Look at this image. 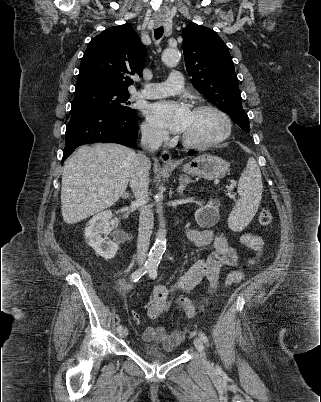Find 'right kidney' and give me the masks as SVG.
<instances>
[{
	"mask_svg": "<svg viewBox=\"0 0 321 402\" xmlns=\"http://www.w3.org/2000/svg\"><path fill=\"white\" fill-rule=\"evenodd\" d=\"M114 224L111 210H106L93 216L85 228L86 242L104 259H112L118 250L117 243L108 240L106 236L102 237V234L110 232V226Z\"/></svg>",
	"mask_w": 321,
	"mask_h": 402,
	"instance_id": "obj_1",
	"label": "right kidney"
}]
</instances>
